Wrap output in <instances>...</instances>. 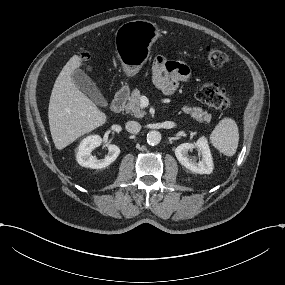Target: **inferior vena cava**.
<instances>
[{"mask_svg": "<svg viewBox=\"0 0 285 285\" xmlns=\"http://www.w3.org/2000/svg\"><path fill=\"white\" fill-rule=\"evenodd\" d=\"M141 129V125L136 121H128L126 123V130L130 133L137 134Z\"/></svg>", "mask_w": 285, "mask_h": 285, "instance_id": "obj_1", "label": "inferior vena cava"}]
</instances>
